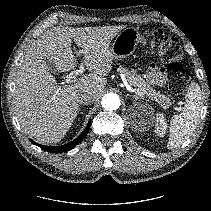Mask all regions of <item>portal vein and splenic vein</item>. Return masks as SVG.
I'll use <instances>...</instances> for the list:
<instances>
[{"label": "portal vein and splenic vein", "instance_id": "portal-vein-and-splenic-vein-1", "mask_svg": "<svg viewBox=\"0 0 211 211\" xmlns=\"http://www.w3.org/2000/svg\"><path fill=\"white\" fill-rule=\"evenodd\" d=\"M84 71H85L84 63H81L80 66H79V69L72 71V72L68 75L67 81H68V82L76 81V78H77L79 75L83 74ZM128 90L131 91V92H133L134 94H136V95H138V96H143V94H142L139 90H137V89H134V88L129 87Z\"/></svg>", "mask_w": 211, "mask_h": 211}]
</instances>
